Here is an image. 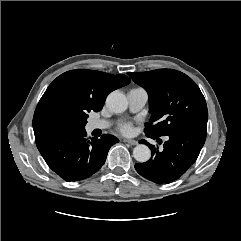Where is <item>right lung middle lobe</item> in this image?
<instances>
[{"mask_svg":"<svg viewBox=\"0 0 241 241\" xmlns=\"http://www.w3.org/2000/svg\"><path fill=\"white\" fill-rule=\"evenodd\" d=\"M87 123L86 119H83L79 122H74L68 119L60 118L54 120L50 125V131L61 130L67 128H85V124Z\"/></svg>","mask_w":241,"mask_h":241,"instance_id":"1","label":"right lung middle lobe"}]
</instances>
